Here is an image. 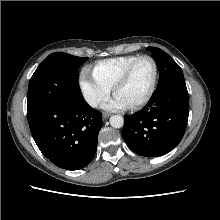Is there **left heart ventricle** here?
<instances>
[{"label":"left heart ventricle","mask_w":220,"mask_h":220,"mask_svg":"<svg viewBox=\"0 0 220 220\" xmlns=\"http://www.w3.org/2000/svg\"><path fill=\"white\" fill-rule=\"evenodd\" d=\"M154 77V66L148 59L141 60L134 68L128 81L116 92L128 106L142 100L149 92Z\"/></svg>","instance_id":"obj_1"}]
</instances>
